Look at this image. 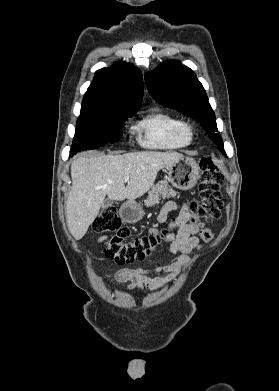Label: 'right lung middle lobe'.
Returning <instances> with one entry per match:
<instances>
[{
  "instance_id": "dd1d6c3e",
  "label": "right lung middle lobe",
  "mask_w": 279,
  "mask_h": 391,
  "mask_svg": "<svg viewBox=\"0 0 279 391\" xmlns=\"http://www.w3.org/2000/svg\"><path fill=\"white\" fill-rule=\"evenodd\" d=\"M137 109L105 110L82 112L77 120V127L70 156L85 149H95L107 142L115 143L122 136V123Z\"/></svg>"
}]
</instances>
